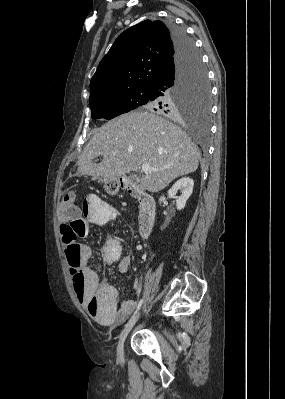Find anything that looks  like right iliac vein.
<instances>
[{"label": "right iliac vein", "instance_id": "63e3f726", "mask_svg": "<svg viewBox=\"0 0 285 399\" xmlns=\"http://www.w3.org/2000/svg\"><path fill=\"white\" fill-rule=\"evenodd\" d=\"M141 316V313L137 314L125 327L124 329L121 331L120 336H119V340H118V345H117V355L118 358H123L124 356V343L126 341V338L129 334V332L131 331V329L133 328V326L136 324V322L139 320Z\"/></svg>", "mask_w": 285, "mask_h": 399}]
</instances>
